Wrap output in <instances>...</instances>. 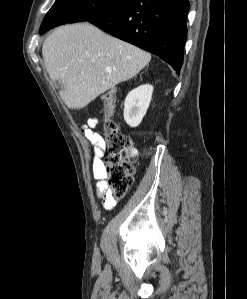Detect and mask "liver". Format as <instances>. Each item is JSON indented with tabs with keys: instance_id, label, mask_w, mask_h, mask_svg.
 Wrapping results in <instances>:
<instances>
[{
	"instance_id": "6515ba94",
	"label": "liver",
	"mask_w": 247,
	"mask_h": 299,
	"mask_svg": "<svg viewBox=\"0 0 247 299\" xmlns=\"http://www.w3.org/2000/svg\"><path fill=\"white\" fill-rule=\"evenodd\" d=\"M42 55L53 81L62 80L61 97L81 109L118 83L136 76L151 55L84 22L56 28L44 41Z\"/></svg>"
}]
</instances>
